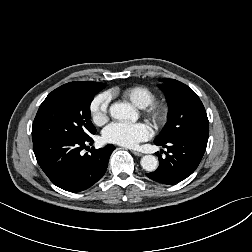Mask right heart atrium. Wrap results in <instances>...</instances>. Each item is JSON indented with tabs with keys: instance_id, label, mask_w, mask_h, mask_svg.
Segmentation results:
<instances>
[{
	"instance_id": "d8ad5b80",
	"label": "right heart atrium",
	"mask_w": 252,
	"mask_h": 252,
	"mask_svg": "<svg viewBox=\"0 0 252 252\" xmlns=\"http://www.w3.org/2000/svg\"><path fill=\"white\" fill-rule=\"evenodd\" d=\"M109 103L110 95L107 93H100L92 99L89 105V112L92 121L96 125L101 126L108 121Z\"/></svg>"
}]
</instances>
